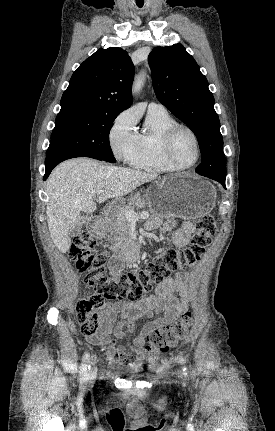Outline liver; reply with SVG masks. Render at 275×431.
Returning <instances> with one entry per match:
<instances>
[{"label":"liver","instance_id":"1","mask_svg":"<svg viewBox=\"0 0 275 431\" xmlns=\"http://www.w3.org/2000/svg\"><path fill=\"white\" fill-rule=\"evenodd\" d=\"M156 178V175L104 165L96 160L77 158L58 165L47 180L49 203L46 214L51 239L61 253L71 246L70 231L82 220L81 212L96 210L98 202L120 198Z\"/></svg>","mask_w":275,"mask_h":431}]
</instances>
